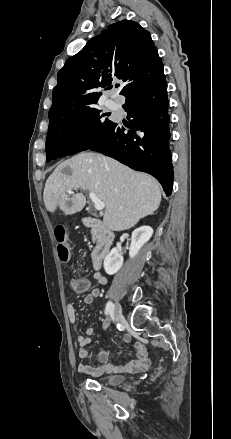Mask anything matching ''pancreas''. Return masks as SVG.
Listing matches in <instances>:
<instances>
[{
	"label": "pancreas",
	"instance_id": "pancreas-1",
	"mask_svg": "<svg viewBox=\"0 0 231 439\" xmlns=\"http://www.w3.org/2000/svg\"><path fill=\"white\" fill-rule=\"evenodd\" d=\"M98 240L97 236L95 234H92V241L96 242Z\"/></svg>",
	"mask_w": 231,
	"mask_h": 439
}]
</instances>
